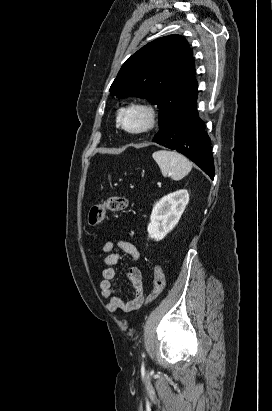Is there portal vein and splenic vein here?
I'll return each instance as SVG.
<instances>
[{"instance_id":"obj_1","label":"portal vein and splenic vein","mask_w":272,"mask_h":411,"mask_svg":"<svg viewBox=\"0 0 272 411\" xmlns=\"http://www.w3.org/2000/svg\"><path fill=\"white\" fill-rule=\"evenodd\" d=\"M157 185H159V186H160V185H161V183H160V182H158V183H157Z\"/></svg>"}]
</instances>
